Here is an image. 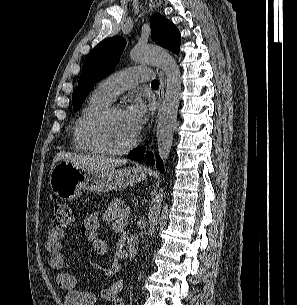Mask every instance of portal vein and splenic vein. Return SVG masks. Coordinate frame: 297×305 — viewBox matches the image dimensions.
I'll use <instances>...</instances> for the list:
<instances>
[{
  "mask_svg": "<svg viewBox=\"0 0 297 305\" xmlns=\"http://www.w3.org/2000/svg\"><path fill=\"white\" fill-rule=\"evenodd\" d=\"M129 212H130V209H129V208H126V209H125V216H127Z\"/></svg>",
  "mask_w": 297,
  "mask_h": 305,
  "instance_id": "obj_1",
  "label": "portal vein and splenic vein"
}]
</instances>
